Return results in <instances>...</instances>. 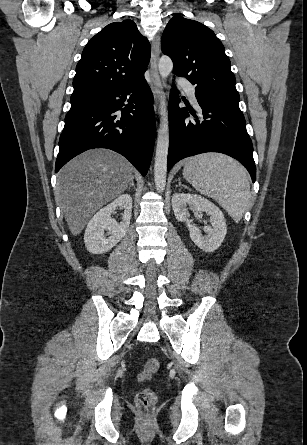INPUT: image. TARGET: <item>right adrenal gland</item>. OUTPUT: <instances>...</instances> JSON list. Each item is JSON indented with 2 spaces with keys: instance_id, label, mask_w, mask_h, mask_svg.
Listing matches in <instances>:
<instances>
[{
  "instance_id": "obj_1",
  "label": "right adrenal gland",
  "mask_w": 307,
  "mask_h": 445,
  "mask_svg": "<svg viewBox=\"0 0 307 445\" xmlns=\"http://www.w3.org/2000/svg\"><path fill=\"white\" fill-rule=\"evenodd\" d=\"M133 178H134V176H132V178H131V182H130L128 188H131V186H133V188H136V186H134V180H133Z\"/></svg>"
}]
</instances>
